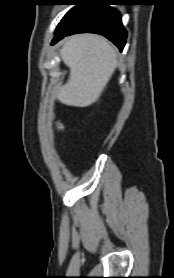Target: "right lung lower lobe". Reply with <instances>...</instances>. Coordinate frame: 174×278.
I'll return each instance as SVG.
<instances>
[{"mask_svg": "<svg viewBox=\"0 0 174 278\" xmlns=\"http://www.w3.org/2000/svg\"><path fill=\"white\" fill-rule=\"evenodd\" d=\"M109 2L87 0L78 4L56 28L52 44L74 33L94 32L111 40L122 51L127 33L119 12L109 7Z\"/></svg>", "mask_w": 174, "mask_h": 278, "instance_id": "right-lung-lower-lobe-1", "label": "right lung lower lobe"}]
</instances>
